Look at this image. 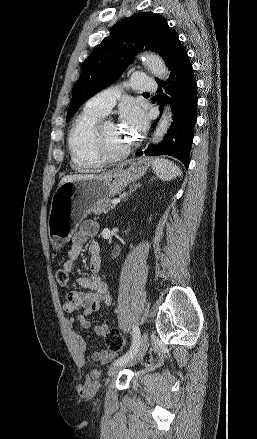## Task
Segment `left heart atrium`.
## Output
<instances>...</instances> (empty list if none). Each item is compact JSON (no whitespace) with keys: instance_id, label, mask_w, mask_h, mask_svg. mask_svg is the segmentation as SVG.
<instances>
[{"instance_id":"39dd6f15","label":"left heart atrium","mask_w":257,"mask_h":439,"mask_svg":"<svg viewBox=\"0 0 257 439\" xmlns=\"http://www.w3.org/2000/svg\"><path fill=\"white\" fill-rule=\"evenodd\" d=\"M121 122L124 129L131 134L142 133L147 126L144 111L136 105H127L121 109Z\"/></svg>"}]
</instances>
